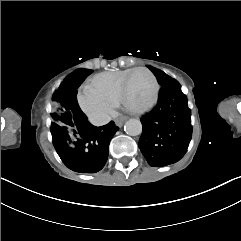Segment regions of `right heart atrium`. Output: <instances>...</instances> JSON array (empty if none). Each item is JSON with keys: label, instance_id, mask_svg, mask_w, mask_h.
Instances as JSON below:
<instances>
[{"label": "right heart atrium", "instance_id": "1", "mask_svg": "<svg viewBox=\"0 0 241 241\" xmlns=\"http://www.w3.org/2000/svg\"><path fill=\"white\" fill-rule=\"evenodd\" d=\"M77 102L82 112L90 116L94 124L101 128L110 125L109 111H114L115 103L110 96L101 93L94 84L87 83L78 89Z\"/></svg>", "mask_w": 241, "mask_h": 241}]
</instances>
